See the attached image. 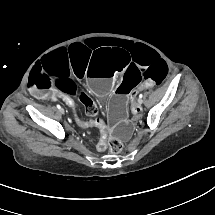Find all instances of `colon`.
<instances>
[{
	"label": "colon",
	"instance_id": "1",
	"mask_svg": "<svg viewBox=\"0 0 215 215\" xmlns=\"http://www.w3.org/2000/svg\"><path fill=\"white\" fill-rule=\"evenodd\" d=\"M84 107H85V113L89 116H96L99 114L98 105L92 100L85 99ZM109 147L112 151L118 152L121 150V143L118 140H112L109 143Z\"/></svg>",
	"mask_w": 215,
	"mask_h": 215
}]
</instances>
